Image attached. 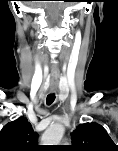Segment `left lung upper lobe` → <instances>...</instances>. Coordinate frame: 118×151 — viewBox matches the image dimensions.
Returning a JSON list of instances; mask_svg holds the SVG:
<instances>
[{"label": "left lung upper lobe", "mask_w": 118, "mask_h": 151, "mask_svg": "<svg viewBox=\"0 0 118 151\" xmlns=\"http://www.w3.org/2000/svg\"><path fill=\"white\" fill-rule=\"evenodd\" d=\"M75 151H118L106 130L99 124H80L71 134Z\"/></svg>", "instance_id": "5c2ea615"}]
</instances>
